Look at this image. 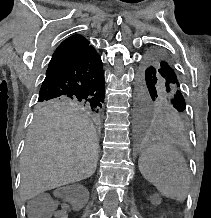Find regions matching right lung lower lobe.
Listing matches in <instances>:
<instances>
[{
    "label": "right lung lower lobe",
    "mask_w": 211,
    "mask_h": 218,
    "mask_svg": "<svg viewBox=\"0 0 211 218\" xmlns=\"http://www.w3.org/2000/svg\"><path fill=\"white\" fill-rule=\"evenodd\" d=\"M61 96L104 102V72L96 51L49 65L39 98Z\"/></svg>",
    "instance_id": "right-lung-lower-lobe-1"
}]
</instances>
